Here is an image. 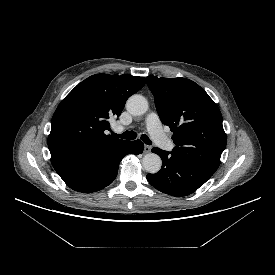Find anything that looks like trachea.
Wrapping results in <instances>:
<instances>
[{
	"mask_svg": "<svg viewBox=\"0 0 275 275\" xmlns=\"http://www.w3.org/2000/svg\"><path fill=\"white\" fill-rule=\"evenodd\" d=\"M112 135L116 138H122V139H128V140H133L136 138V133L134 131H126L122 134L112 133ZM141 140L147 145H151L152 143L146 134L141 135Z\"/></svg>",
	"mask_w": 275,
	"mask_h": 275,
	"instance_id": "obj_1",
	"label": "trachea"
}]
</instances>
